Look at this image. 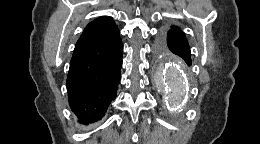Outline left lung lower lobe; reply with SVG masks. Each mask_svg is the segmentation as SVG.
<instances>
[{"instance_id": "obj_1", "label": "left lung lower lobe", "mask_w": 260, "mask_h": 144, "mask_svg": "<svg viewBox=\"0 0 260 144\" xmlns=\"http://www.w3.org/2000/svg\"><path fill=\"white\" fill-rule=\"evenodd\" d=\"M160 43L167 44L169 50L177 54L190 66L191 53L185 34L180 30H169L160 36Z\"/></svg>"}]
</instances>
